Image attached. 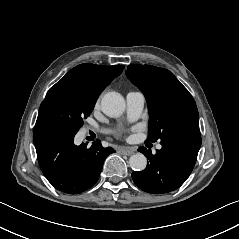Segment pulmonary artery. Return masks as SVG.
I'll list each match as a JSON object with an SVG mask.
<instances>
[{
  "label": "pulmonary artery",
  "instance_id": "pulmonary-artery-1",
  "mask_svg": "<svg viewBox=\"0 0 239 239\" xmlns=\"http://www.w3.org/2000/svg\"><path fill=\"white\" fill-rule=\"evenodd\" d=\"M127 112L130 118L138 119L143 111L145 96L141 91L131 90L126 95ZM157 149H161V144H157Z\"/></svg>",
  "mask_w": 239,
  "mask_h": 239
}]
</instances>
